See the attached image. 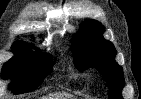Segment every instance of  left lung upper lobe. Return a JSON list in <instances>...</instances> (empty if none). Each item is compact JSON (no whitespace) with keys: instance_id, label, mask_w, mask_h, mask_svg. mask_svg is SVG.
Segmentation results:
<instances>
[{"instance_id":"1","label":"left lung upper lobe","mask_w":141,"mask_h":99,"mask_svg":"<svg viewBox=\"0 0 141 99\" xmlns=\"http://www.w3.org/2000/svg\"><path fill=\"white\" fill-rule=\"evenodd\" d=\"M103 32L104 27L98 21L87 20L82 23L79 32L73 37L74 61L80 71L95 67L109 84L110 99H122V67L115 62V47L103 38Z\"/></svg>"}]
</instances>
